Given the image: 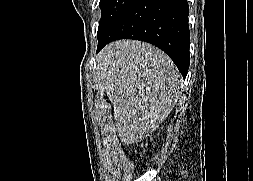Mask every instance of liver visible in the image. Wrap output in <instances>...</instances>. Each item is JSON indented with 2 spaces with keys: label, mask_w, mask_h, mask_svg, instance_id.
Masks as SVG:
<instances>
[{
  "label": "liver",
  "mask_w": 253,
  "mask_h": 181,
  "mask_svg": "<svg viewBox=\"0 0 253 181\" xmlns=\"http://www.w3.org/2000/svg\"><path fill=\"white\" fill-rule=\"evenodd\" d=\"M96 64L120 140L126 145L150 136L175 105L180 74L172 60L151 44L121 40L104 47Z\"/></svg>",
  "instance_id": "1"
}]
</instances>
